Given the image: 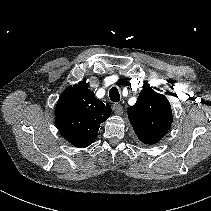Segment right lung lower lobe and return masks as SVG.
Segmentation results:
<instances>
[{"mask_svg": "<svg viewBox=\"0 0 211 211\" xmlns=\"http://www.w3.org/2000/svg\"><path fill=\"white\" fill-rule=\"evenodd\" d=\"M55 120L59 127L69 124V117L67 116V105L63 101H58L55 110Z\"/></svg>", "mask_w": 211, "mask_h": 211, "instance_id": "1", "label": "right lung lower lobe"}]
</instances>
